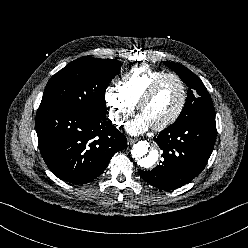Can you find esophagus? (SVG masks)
Masks as SVG:
<instances>
[{"label":"esophagus","instance_id":"34e87169","mask_svg":"<svg viewBox=\"0 0 248 248\" xmlns=\"http://www.w3.org/2000/svg\"><path fill=\"white\" fill-rule=\"evenodd\" d=\"M136 141H137V139H134V138H131V137H128V138H127V144H128V145H132V144H134Z\"/></svg>","mask_w":248,"mask_h":248}]
</instances>
